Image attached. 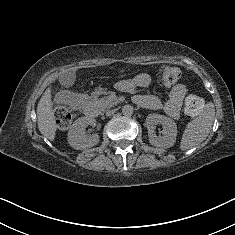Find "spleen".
<instances>
[{"label":"spleen","instance_id":"1","mask_svg":"<svg viewBox=\"0 0 235 235\" xmlns=\"http://www.w3.org/2000/svg\"><path fill=\"white\" fill-rule=\"evenodd\" d=\"M204 129H205V130H207V127H204ZM185 142H186V141L184 140V143H183V144L185 145V147H189V146H190V144L185 143Z\"/></svg>","mask_w":235,"mask_h":235}]
</instances>
